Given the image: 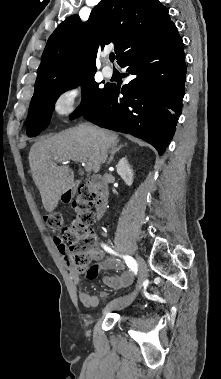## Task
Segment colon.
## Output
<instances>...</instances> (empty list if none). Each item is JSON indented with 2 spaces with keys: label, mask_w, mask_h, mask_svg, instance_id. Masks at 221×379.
Returning a JSON list of instances; mask_svg holds the SVG:
<instances>
[{
  "label": "colon",
  "mask_w": 221,
  "mask_h": 379,
  "mask_svg": "<svg viewBox=\"0 0 221 379\" xmlns=\"http://www.w3.org/2000/svg\"><path fill=\"white\" fill-rule=\"evenodd\" d=\"M98 198V192L82 190L73 202L75 216L66 227H63V218L59 213H47L43 217L51 233L60 232V236L55 238L64 249L68 247L71 262L81 273L87 272L88 265L102 255L96 248V238L90 229L94 219L92 207Z\"/></svg>",
  "instance_id": "obj_1"
}]
</instances>
